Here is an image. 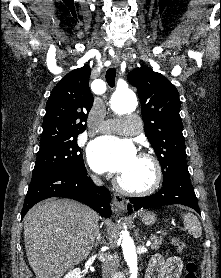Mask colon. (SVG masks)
<instances>
[{"label":"colon","instance_id":"obj_1","mask_svg":"<svg viewBox=\"0 0 221 278\" xmlns=\"http://www.w3.org/2000/svg\"><path fill=\"white\" fill-rule=\"evenodd\" d=\"M172 244L174 245L176 250L180 253H182L186 250L185 243L177 237L173 238ZM184 278H198L197 277V265L194 261H189L187 263L186 268H185Z\"/></svg>","mask_w":221,"mask_h":278}]
</instances>
